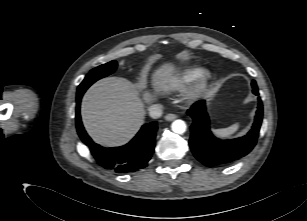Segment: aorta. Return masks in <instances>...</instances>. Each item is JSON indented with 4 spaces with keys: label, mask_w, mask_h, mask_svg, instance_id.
<instances>
[{
    "label": "aorta",
    "mask_w": 307,
    "mask_h": 221,
    "mask_svg": "<svg viewBox=\"0 0 307 221\" xmlns=\"http://www.w3.org/2000/svg\"><path fill=\"white\" fill-rule=\"evenodd\" d=\"M186 123L183 120H175L172 125L171 129L176 134H183L186 131Z\"/></svg>",
    "instance_id": "obj_1"
}]
</instances>
